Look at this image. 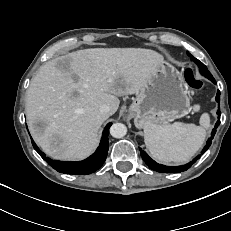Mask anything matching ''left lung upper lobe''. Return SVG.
<instances>
[{
  "label": "left lung upper lobe",
  "mask_w": 231,
  "mask_h": 231,
  "mask_svg": "<svg viewBox=\"0 0 231 231\" xmlns=\"http://www.w3.org/2000/svg\"><path fill=\"white\" fill-rule=\"evenodd\" d=\"M188 55L190 56L191 60H193L198 65L200 73L203 76H205L209 80L213 79L212 74L207 70V67L203 63H201L198 59L194 58L191 54L188 53Z\"/></svg>",
  "instance_id": "left-lung-upper-lobe-1"
}]
</instances>
